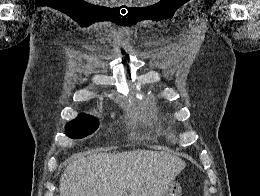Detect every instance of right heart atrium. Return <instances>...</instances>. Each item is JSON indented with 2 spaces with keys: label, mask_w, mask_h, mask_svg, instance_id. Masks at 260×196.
<instances>
[{
  "label": "right heart atrium",
  "mask_w": 260,
  "mask_h": 196,
  "mask_svg": "<svg viewBox=\"0 0 260 196\" xmlns=\"http://www.w3.org/2000/svg\"><path fill=\"white\" fill-rule=\"evenodd\" d=\"M135 192H150V190H134Z\"/></svg>",
  "instance_id": "right-heart-atrium-1"
}]
</instances>
